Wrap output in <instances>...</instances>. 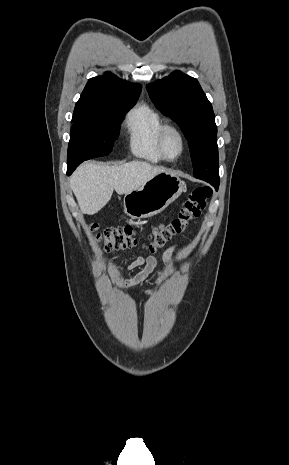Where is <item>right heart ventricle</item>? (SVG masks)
I'll return each instance as SVG.
<instances>
[{
    "label": "right heart ventricle",
    "instance_id": "right-heart-ventricle-1",
    "mask_svg": "<svg viewBox=\"0 0 289 465\" xmlns=\"http://www.w3.org/2000/svg\"><path fill=\"white\" fill-rule=\"evenodd\" d=\"M164 120L157 110L148 104H139L126 116L125 127L132 153L146 161L158 163L164 160L159 147V133Z\"/></svg>",
    "mask_w": 289,
    "mask_h": 465
}]
</instances>
